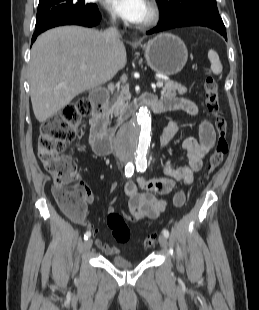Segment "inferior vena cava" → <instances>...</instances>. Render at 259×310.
<instances>
[{
    "instance_id": "602c4592",
    "label": "inferior vena cava",
    "mask_w": 259,
    "mask_h": 310,
    "mask_svg": "<svg viewBox=\"0 0 259 310\" xmlns=\"http://www.w3.org/2000/svg\"><path fill=\"white\" fill-rule=\"evenodd\" d=\"M103 36L107 45H115L120 41V33L118 29L114 26L109 27L103 32Z\"/></svg>"
}]
</instances>
